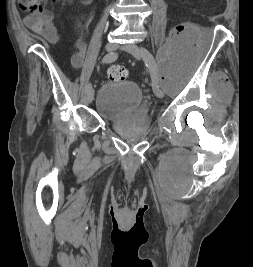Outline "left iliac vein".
Wrapping results in <instances>:
<instances>
[{
  "label": "left iliac vein",
  "instance_id": "1",
  "mask_svg": "<svg viewBox=\"0 0 253 267\" xmlns=\"http://www.w3.org/2000/svg\"><path fill=\"white\" fill-rule=\"evenodd\" d=\"M123 48L128 53H130L132 56H134L136 59H141V58L144 57V52L135 44H126V45H123ZM147 55L150 56V57L153 56L149 51H148ZM154 93L159 98H163L164 97V92L158 86H154Z\"/></svg>",
  "mask_w": 253,
  "mask_h": 267
}]
</instances>
